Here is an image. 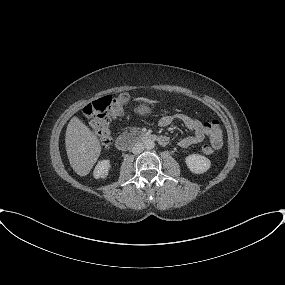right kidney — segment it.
<instances>
[{
  "instance_id": "1",
  "label": "right kidney",
  "mask_w": 285,
  "mask_h": 285,
  "mask_svg": "<svg viewBox=\"0 0 285 285\" xmlns=\"http://www.w3.org/2000/svg\"><path fill=\"white\" fill-rule=\"evenodd\" d=\"M111 168L110 161L109 160H101L96 165L93 176L95 179H105L108 176L109 170Z\"/></svg>"
}]
</instances>
